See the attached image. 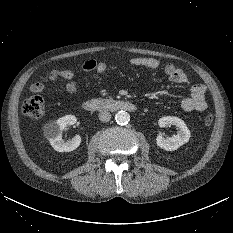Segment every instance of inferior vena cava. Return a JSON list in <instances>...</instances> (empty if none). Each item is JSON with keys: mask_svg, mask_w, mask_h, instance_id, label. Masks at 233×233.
<instances>
[{"mask_svg": "<svg viewBox=\"0 0 233 233\" xmlns=\"http://www.w3.org/2000/svg\"><path fill=\"white\" fill-rule=\"evenodd\" d=\"M98 117L101 122H108L111 119V114L108 110L104 109L100 111Z\"/></svg>", "mask_w": 233, "mask_h": 233, "instance_id": "obj_1", "label": "inferior vena cava"}]
</instances>
